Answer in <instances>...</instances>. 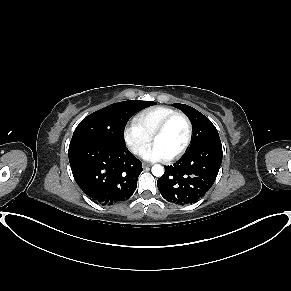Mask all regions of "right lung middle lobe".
<instances>
[{
  "label": "right lung middle lobe",
  "instance_id": "right-lung-middle-lobe-1",
  "mask_svg": "<svg viewBox=\"0 0 291 291\" xmlns=\"http://www.w3.org/2000/svg\"><path fill=\"white\" fill-rule=\"evenodd\" d=\"M155 102L130 100L109 105L84 118L75 129L70 146L78 143H97L126 146L124 128L137 111Z\"/></svg>",
  "mask_w": 291,
  "mask_h": 291
}]
</instances>
